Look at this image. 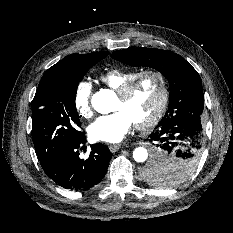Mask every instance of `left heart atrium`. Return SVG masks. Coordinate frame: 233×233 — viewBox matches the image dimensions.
Segmentation results:
<instances>
[{
  "mask_svg": "<svg viewBox=\"0 0 233 233\" xmlns=\"http://www.w3.org/2000/svg\"><path fill=\"white\" fill-rule=\"evenodd\" d=\"M134 122L124 110L98 117L88 127V134L94 141L116 143L130 131Z\"/></svg>",
  "mask_w": 233,
  "mask_h": 233,
  "instance_id": "39dd6f15",
  "label": "left heart atrium"
}]
</instances>
